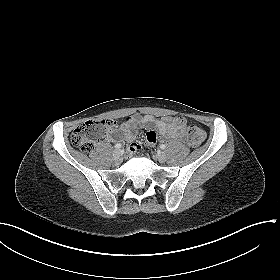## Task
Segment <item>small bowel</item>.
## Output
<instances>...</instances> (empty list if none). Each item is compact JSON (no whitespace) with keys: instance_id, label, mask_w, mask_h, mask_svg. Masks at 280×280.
I'll list each match as a JSON object with an SVG mask.
<instances>
[{"instance_id":"c3829d8e","label":"small bowel","mask_w":280,"mask_h":280,"mask_svg":"<svg viewBox=\"0 0 280 280\" xmlns=\"http://www.w3.org/2000/svg\"><path fill=\"white\" fill-rule=\"evenodd\" d=\"M186 120L181 117L157 118L153 115H144L142 117H130L122 124L116 139H125L129 142L127 154L134 155L139 151L141 146L135 142L136 133L134 126L149 127L153 126L156 130L149 129L145 134L147 146H154L158 141V134L180 140L184 136Z\"/></svg>"}]
</instances>
